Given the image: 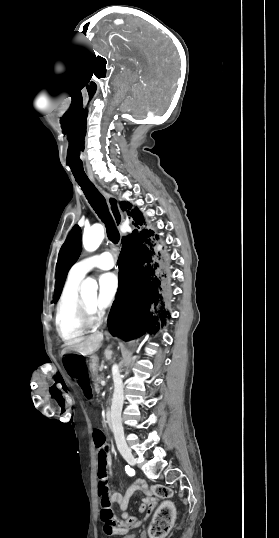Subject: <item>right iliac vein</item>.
Segmentation results:
<instances>
[{"label":"right iliac vein","mask_w":279,"mask_h":538,"mask_svg":"<svg viewBox=\"0 0 279 538\" xmlns=\"http://www.w3.org/2000/svg\"><path fill=\"white\" fill-rule=\"evenodd\" d=\"M122 456L128 462V464H130L131 466H134L136 464V460H135L134 456L132 455V453L124 452L122 454Z\"/></svg>","instance_id":"right-iliac-vein-1"}]
</instances>
